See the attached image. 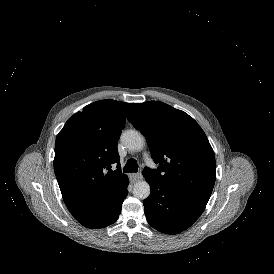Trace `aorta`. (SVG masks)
Masks as SVG:
<instances>
[{
    "label": "aorta",
    "instance_id": "obj_1",
    "mask_svg": "<svg viewBox=\"0 0 274 274\" xmlns=\"http://www.w3.org/2000/svg\"><path fill=\"white\" fill-rule=\"evenodd\" d=\"M122 144L132 151H140L145 145L143 135L135 130H127L121 135ZM133 195L138 199H146L150 195V185L146 181L136 182L133 186Z\"/></svg>",
    "mask_w": 274,
    "mask_h": 274
}]
</instances>
